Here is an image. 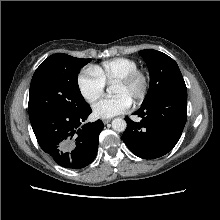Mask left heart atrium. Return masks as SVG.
<instances>
[{
  "label": "left heart atrium",
  "instance_id": "obj_1",
  "mask_svg": "<svg viewBox=\"0 0 220 220\" xmlns=\"http://www.w3.org/2000/svg\"><path fill=\"white\" fill-rule=\"evenodd\" d=\"M131 100L124 95L113 98H102L96 101L93 106V114L97 118H111L126 112L131 107Z\"/></svg>",
  "mask_w": 220,
  "mask_h": 220
}]
</instances>
